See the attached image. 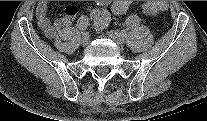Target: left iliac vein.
<instances>
[{
    "mask_svg": "<svg viewBox=\"0 0 207 121\" xmlns=\"http://www.w3.org/2000/svg\"><path fill=\"white\" fill-rule=\"evenodd\" d=\"M108 36L118 45H121L125 42V36L119 31H110Z\"/></svg>",
    "mask_w": 207,
    "mask_h": 121,
    "instance_id": "left-iliac-vein-1",
    "label": "left iliac vein"
}]
</instances>
